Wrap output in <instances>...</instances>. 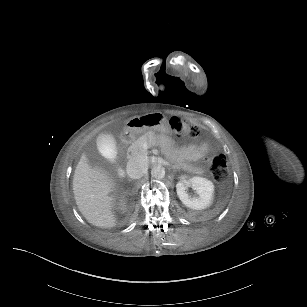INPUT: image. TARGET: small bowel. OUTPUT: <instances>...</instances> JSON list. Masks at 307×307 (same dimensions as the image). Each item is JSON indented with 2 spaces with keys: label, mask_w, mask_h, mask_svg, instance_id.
Segmentation results:
<instances>
[{
  "label": "small bowel",
  "mask_w": 307,
  "mask_h": 307,
  "mask_svg": "<svg viewBox=\"0 0 307 307\" xmlns=\"http://www.w3.org/2000/svg\"><path fill=\"white\" fill-rule=\"evenodd\" d=\"M208 145L206 143L192 144L188 147V152L194 159H204L208 154Z\"/></svg>",
  "instance_id": "c3829d8e"
}]
</instances>
